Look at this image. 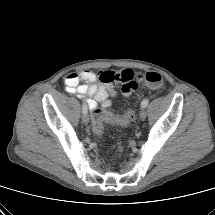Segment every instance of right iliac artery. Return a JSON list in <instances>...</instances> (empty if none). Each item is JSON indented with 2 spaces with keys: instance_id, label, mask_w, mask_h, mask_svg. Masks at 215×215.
Masks as SVG:
<instances>
[{
  "instance_id": "1",
  "label": "right iliac artery",
  "mask_w": 215,
  "mask_h": 215,
  "mask_svg": "<svg viewBox=\"0 0 215 215\" xmlns=\"http://www.w3.org/2000/svg\"><path fill=\"white\" fill-rule=\"evenodd\" d=\"M82 111H83V114L87 113V106L85 103L82 105Z\"/></svg>"
}]
</instances>
